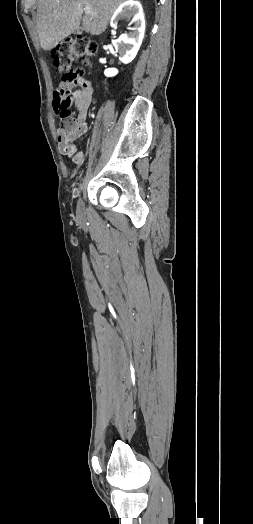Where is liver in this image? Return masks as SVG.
<instances>
[{
  "instance_id": "1",
  "label": "liver",
  "mask_w": 253,
  "mask_h": 524,
  "mask_svg": "<svg viewBox=\"0 0 253 524\" xmlns=\"http://www.w3.org/2000/svg\"><path fill=\"white\" fill-rule=\"evenodd\" d=\"M125 0H39L36 27L43 50L50 51L65 37L75 32L82 20V30L91 35L102 34L115 12ZM94 15L82 17L84 7Z\"/></svg>"
}]
</instances>
